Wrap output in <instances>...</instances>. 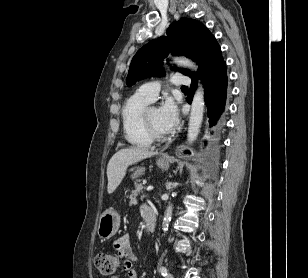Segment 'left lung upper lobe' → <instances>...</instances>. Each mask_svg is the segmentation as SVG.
Wrapping results in <instances>:
<instances>
[{
  "label": "left lung upper lobe",
  "instance_id": "left-lung-upper-lobe-1",
  "mask_svg": "<svg viewBox=\"0 0 308 278\" xmlns=\"http://www.w3.org/2000/svg\"><path fill=\"white\" fill-rule=\"evenodd\" d=\"M166 33L167 36L159 37L137 51L128 71V86L146 77L162 76V60L170 53L182 54L195 61L199 66L198 75L201 77L224 61L214 35L197 20L183 18L175 21ZM179 71L190 78L197 76L187 69Z\"/></svg>",
  "mask_w": 308,
  "mask_h": 278
}]
</instances>
